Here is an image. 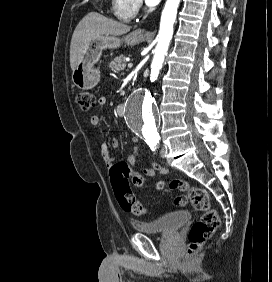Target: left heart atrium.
Here are the masks:
<instances>
[{"label": "left heart atrium", "mask_w": 272, "mask_h": 282, "mask_svg": "<svg viewBox=\"0 0 272 282\" xmlns=\"http://www.w3.org/2000/svg\"><path fill=\"white\" fill-rule=\"evenodd\" d=\"M160 0H145V3L148 5V6H155L159 3Z\"/></svg>", "instance_id": "1"}]
</instances>
